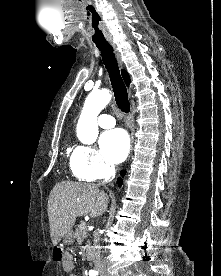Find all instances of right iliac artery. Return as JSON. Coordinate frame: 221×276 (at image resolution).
I'll list each match as a JSON object with an SVG mask.
<instances>
[{
	"mask_svg": "<svg viewBox=\"0 0 221 276\" xmlns=\"http://www.w3.org/2000/svg\"><path fill=\"white\" fill-rule=\"evenodd\" d=\"M89 275H90V276H97V275H98V272H97V271H94V270H90V271H89Z\"/></svg>",
	"mask_w": 221,
	"mask_h": 276,
	"instance_id": "obj_1",
	"label": "right iliac artery"
}]
</instances>
